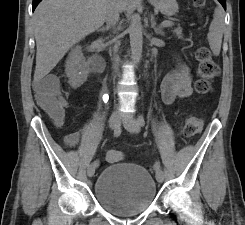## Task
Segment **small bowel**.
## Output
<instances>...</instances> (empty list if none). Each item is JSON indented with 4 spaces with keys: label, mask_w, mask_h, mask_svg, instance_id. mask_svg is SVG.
Returning a JSON list of instances; mask_svg holds the SVG:
<instances>
[{
    "label": "small bowel",
    "mask_w": 245,
    "mask_h": 225,
    "mask_svg": "<svg viewBox=\"0 0 245 225\" xmlns=\"http://www.w3.org/2000/svg\"><path fill=\"white\" fill-rule=\"evenodd\" d=\"M52 80V74L44 77L38 85H42L45 80ZM192 78L186 64H181L172 72L167 74L161 84V96L165 104H172L177 98H186L192 93L191 87ZM82 144V139L79 133L72 132L66 138V145L70 148L79 147ZM123 155L118 150H111L107 154L109 163H118Z\"/></svg>",
    "instance_id": "small-bowel-1"
}]
</instances>
